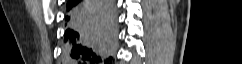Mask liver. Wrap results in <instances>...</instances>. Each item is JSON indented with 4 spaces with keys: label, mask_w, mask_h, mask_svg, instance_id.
Masks as SVG:
<instances>
[{
    "label": "liver",
    "mask_w": 242,
    "mask_h": 64,
    "mask_svg": "<svg viewBox=\"0 0 242 64\" xmlns=\"http://www.w3.org/2000/svg\"><path fill=\"white\" fill-rule=\"evenodd\" d=\"M84 26H86L90 32H96L98 34H101L107 30V26L101 19V15H99L98 11H92L88 17V19L85 20Z\"/></svg>",
    "instance_id": "obj_1"
}]
</instances>
